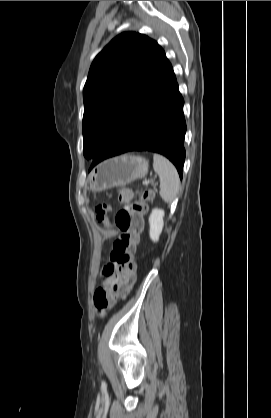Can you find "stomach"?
Masks as SVG:
<instances>
[{
    "label": "stomach",
    "mask_w": 271,
    "mask_h": 418,
    "mask_svg": "<svg viewBox=\"0 0 271 418\" xmlns=\"http://www.w3.org/2000/svg\"><path fill=\"white\" fill-rule=\"evenodd\" d=\"M147 172L145 158L125 154L98 164L89 174V186L94 192L104 191L144 178Z\"/></svg>",
    "instance_id": "stomach-1"
}]
</instances>
